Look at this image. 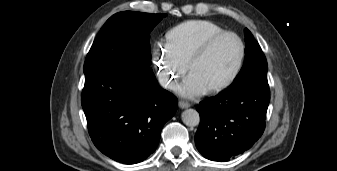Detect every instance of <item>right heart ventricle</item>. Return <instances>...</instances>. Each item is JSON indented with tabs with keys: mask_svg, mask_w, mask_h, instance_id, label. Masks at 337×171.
Segmentation results:
<instances>
[{
	"mask_svg": "<svg viewBox=\"0 0 337 171\" xmlns=\"http://www.w3.org/2000/svg\"><path fill=\"white\" fill-rule=\"evenodd\" d=\"M223 31L224 28L210 20H188L167 32L165 45L187 65L202 42Z\"/></svg>",
	"mask_w": 337,
	"mask_h": 171,
	"instance_id": "e07e8e85",
	"label": "right heart ventricle"
}]
</instances>
